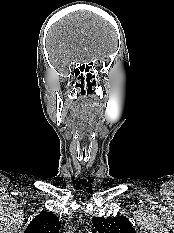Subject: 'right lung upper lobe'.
Returning <instances> with one entry per match:
<instances>
[{"instance_id": "cb5924a9", "label": "right lung upper lobe", "mask_w": 174, "mask_h": 233, "mask_svg": "<svg viewBox=\"0 0 174 233\" xmlns=\"http://www.w3.org/2000/svg\"><path fill=\"white\" fill-rule=\"evenodd\" d=\"M58 217L50 212H42L28 225L24 233H59Z\"/></svg>"}]
</instances>
